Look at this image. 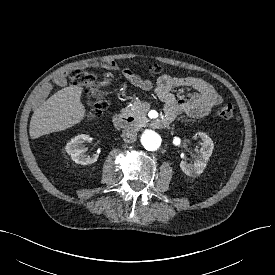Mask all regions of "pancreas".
Returning a JSON list of instances; mask_svg holds the SVG:
<instances>
[{"instance_id": "pancreas-1", "label": "pancreas", "mask_w": 275, "mask_h": 275, "mask_svg": "<svg viewBox=\"0 0 275 275\" xmlns=\"http://www.w3.org/2000/svg\"><path fill=\"white\" fill-rule=\"evenodd\" d=\"M150 109L148 103H142L141 101H135L132 106L126 107L123 111V115L135 118L138 125H145L148 122L146 117L147 112Z\"/></svg>"}]
</instances>
